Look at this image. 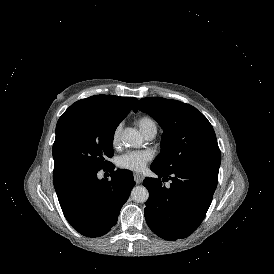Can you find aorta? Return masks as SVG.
Masks as SVG:
<instances>
[{
	"label": "aorta",
	"mask_w": 274,
	"mask_h": 274,
	"mask_svg": "<svg viewBox=\"0 0 274 274\" xmlns=\"http://www.w3.org/2000/svg\"><path fill=\"white\" fill-rule=\"evenodd\" d=\"M123 143L127 146L138 147L141 142L140 135L132 128H126L121 137ZM132 199L137 203L146 202L149 192L144 186H136L131 191Z\"/></svg>",
	"instance_id": "1"
}]
</instances>
